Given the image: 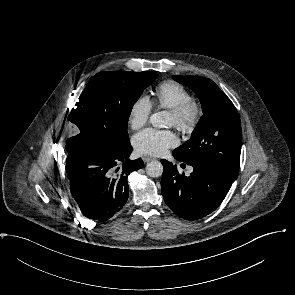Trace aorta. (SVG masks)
Masks as SVG:
<instances>
[{
	"label": "aorta",
	"mask_w": 295,
	"mask_h": 295,
	"mask_svg": "<svg viewBox=\"0 0 295 295\" xmlns=\"http://www.w3.org/2000/svg\"><path fill=\"white\" fill-rule=\"evenodd\" d=\"M168 115L167 111H159L151 115L150 122L155 128L168 127ZM146 172L150 177H160L163 173V165L160 161H151L146 165Z\"/></svg>",
	"instance_id": "aorta-1"
}]
</instances>
